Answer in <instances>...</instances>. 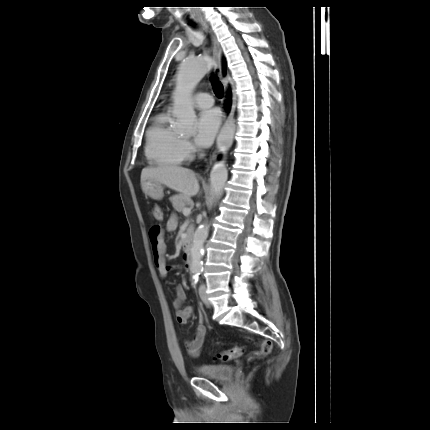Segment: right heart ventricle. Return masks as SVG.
Masks as SVG:
<instances>
[{"mask_svg": "<svg viewBox=\"0 0 430 430\" xmlns=\"http://www.w3.org/2000/svg\"><path fill=\"white\" fill-rule=\"evenodd\" d=\"M168 113L157 115L146 132L145 156L151 165L177 167L186 159L181 137L170 126Z\"/></svg>", "mask_w": 430, "mask_h": 430, "instance_id": "1", "label": "right heart ventricle"}]
</instances>
